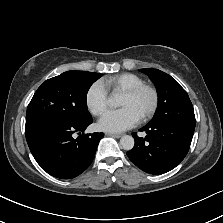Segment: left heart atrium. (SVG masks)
I'll return each mask as SVG.
<instances>
[{
	"instance_id": "39dd6f15",
	"label": "left heart atrium",
	"mask_w": 223,
	"mask_h": 223,
	"mask_svg": "<svg viewBox=\"0 0 223 223\" xmlns=\"http://www.w3.org/2000/svg\"><path fill=\"white\" fill-rule=\"evenodd\" d=\"M140 120L138 114L129 106L107 111L99 120V127L109 132L125 131Z\"/></svg>"
}]
</instances>
